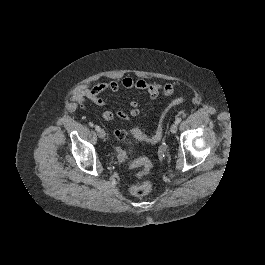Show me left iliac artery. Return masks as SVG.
Wrapping results in <instances>:
<instances>
[{"mask_svg":"<svg viewBox=\"0 0 265 265\" xmlns=\"http://www.w3.org/2000/svg\"><path fill=\"white\" fill-rule=\"evenodd\" d=\"M181 121H182V118L181 117H178V118H176L175 123L176 124H179Z\"/></svg>","mask_w":265,"mask_h":265,"instance_id":"obj_1","label":"left iliac artery"}]
</instances>
